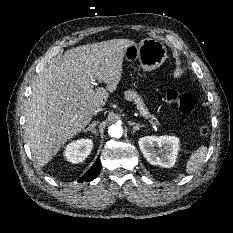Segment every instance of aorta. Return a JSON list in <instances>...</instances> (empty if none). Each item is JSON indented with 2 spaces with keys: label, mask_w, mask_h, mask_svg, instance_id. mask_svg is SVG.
Listing matches in <instances>:
<instances>
[{
  "label": "aorta",
  "mask_w": 233,
  "mask_h": 233,
  "mask_svg": "<svg viewBox=\"0 0 233 233\" xmlns=\"http://www.w3.org/2000/svg\"><path fill=\"white\" fill-rule=\"evenodd\" d=\"M108 133L111 137L120 138L123 134V129L121 125L113 124L109 127Z\"/></svg>",
  "instance_id": "762f6f07"
}]
</instances>
